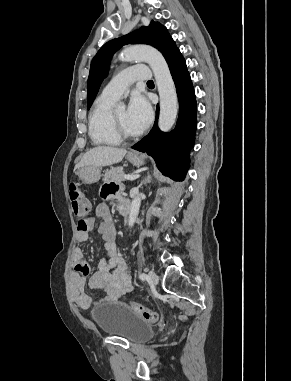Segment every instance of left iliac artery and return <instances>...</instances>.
Listing matches in <instances>:
<instances>
[{
  "mask_svg": "<svg viewBox=\"0 0 291 381\" xmlns=\"http://www.w3.org/2000/svg\"><path fill=\"white\" fill-rule=\"evenodd\" d=\"M139 278L143 281L147 279V275L145 273H140Z\"/></svg>",
  "mask_w": 291,
  "mask_h": 381,
  "instance_id": "left-iliac-artery-1",
  "label": "left iliac artery"
}]
</instances>
